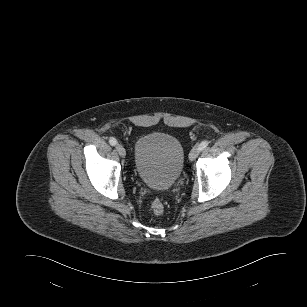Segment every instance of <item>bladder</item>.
I'll return each mask as SVG.
<instances>
[{"mask_svg":"<svg viewBox=\"0 0 307 307\" xmlns=\"http://www.w3.org/2000/svg\"><path fill=\"white\" fill-rule=\"evenodd\" d=\"M185 152L173 135L154 132L138 139L134 149V169L139 180L154 190H168L184 168Z\"/></svg>","mask_w":307,"mask_h":307,"instance_id":"1","label":"bladder"}]
</instances>
